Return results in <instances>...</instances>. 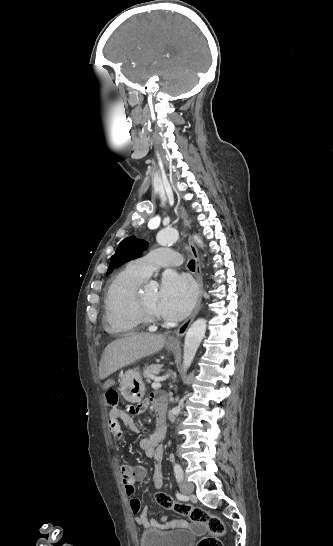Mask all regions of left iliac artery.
Segmentation results:
<instances>
[{
	"label": "left iliac artery",
	"instance_id": "left-iliac-artery-1",
	"mask_svg": "<svg viewBox=\"0 0 333 546\" xmlns=\"http://www.w3.org/2000/svg\"><path fill=\"white\" fill-rule=\"evenodd\" d=\"M174 472H175L176 480L178 482L182 481V479H183V470H182V467L180 466V464H178V463L174 464Z\"/></svg>",
	"mask_w": 333,
	"mask_h": 546
}]
</instances>
